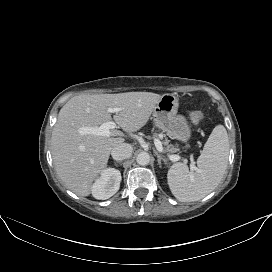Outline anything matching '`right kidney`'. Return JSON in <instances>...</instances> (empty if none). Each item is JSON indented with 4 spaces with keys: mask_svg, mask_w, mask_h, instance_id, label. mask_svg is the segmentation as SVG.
Returning <instances> with one entry per match:
<instances>
[{
    "mask_svg": "<svg viewBox=\"0 0 272 272\" xmlns=\"http://www.w3.org/2000/svg\"><path fill=\"white\" fill-rule=\"evenodd\" d=\"M121 173L114 168L105 169L92 185V195L99 200H106L113 196L120 188Z\"/></svg>",
    "mask_w": 272,
    "mask_h": 272,
    "instance_id": "right-kidney-1",
    "label": "right kidney"
}]
</instances>
